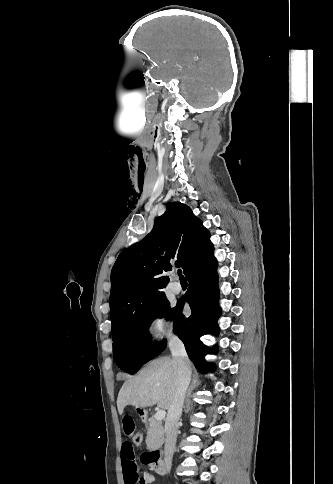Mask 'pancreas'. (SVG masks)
Instances as JSON below:
<instances>
[{
  "label": "pancreas",
  "instance_id": "1",
  "mask_svg": "<svg viewBox=\"0 0 333 484\" xmlns=\"http://www.w3.org/2000/svg\"><path fill=\"white\" fill-rule=\"evenodd\" d=\"M147 437L146 444L147 449L153 451L162 446L164 442V428L161 421L155 419L154 416L150 417L146 422Z\"/></svg>",
  "mask_w": 333,
  "mask_h": 484
}]
</instances>
